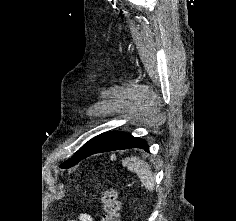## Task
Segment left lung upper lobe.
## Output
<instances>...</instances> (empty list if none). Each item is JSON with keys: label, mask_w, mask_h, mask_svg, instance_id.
Instances as JSON below:
<instances>
[{"label": "left lung upper lobe", "mask_w": 236, "mask_h": 221, "mask_svg": "<svg viewBox=\"0 0 236 221\" xmlns=\"http://www.w3.org/2000/svg\"><path fill=\"white\" fill-rule=\"evenodd\" d=\"M89 142V141H88ZM87 142V143H88ZM85 143L75 154L72 158H70L69 160L65 161L64 163H62L60 165L61 168H70L72 166H74L75 164H77V157H78V154L80 152V150L87 144Z\"/></svg>", "instance_id": "obj_1"}]
</instances>
